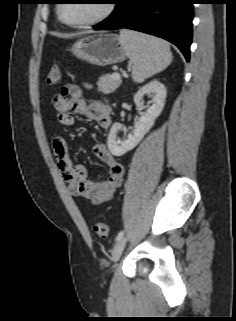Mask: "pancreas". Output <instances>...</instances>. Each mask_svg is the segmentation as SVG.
<instances>
[{"label": "pancreas", "instance_id": "obj_1", "mask_svg": "<svg viewBox=\"0 0 236 321\" xmlns=\"http://www.w3.org/2000/svg\"><path fill=\"white\" fill-rule=\"evenodd\" d=\"M121 84V80L113 79L112 75L106 74L99 78L98 89L104 94H110L114 92Z\"/></svg>", "mask_w": 236, "mask_h": 321}]
</instances>
